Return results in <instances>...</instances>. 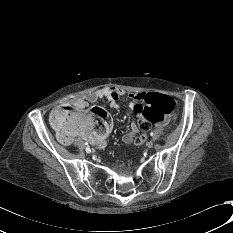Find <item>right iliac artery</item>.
I'll use <instances>...</instances> for the list:
<instances>
[{
  "label": "right iliac artery",
  "mask_w": 233,
  "mask_h": 233,
  "mask_svg": "<svg viewBox=\"0 0 233 233\" xmlns=\"http://www.w3.org/2000/svg\"><path fill=\"white\" fill-rule=\"evenodd\" d=\"M85 145H87V143H85ZM90 151H91L90 148L87 147L86 152L88 153V152H90Z\"/></svg>",
  "instance_id": "obj_1"
}]
</instances>
